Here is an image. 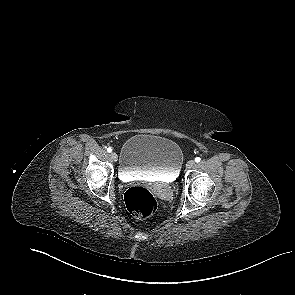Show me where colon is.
<instances>
[{
    "label": "colon",
    "instance_id": "colon-1",
    "mask_svg": "<svg viewBox=\"0 0 295 295\" xmlns=\"http://www.w3.org/2000/svg\"><path fill=\"white\" fill-rule=\"evenodd\" d=\"M128 211L138 219L152 216L158 209V199L148 189L131 187L124 195Z\"/></svg>",
    "mask_w": 295,
    "mask_h": 295
}]
</instances>
